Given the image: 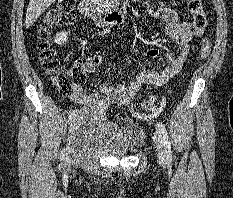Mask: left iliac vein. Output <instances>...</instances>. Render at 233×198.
I'll list each match as a JSON object with an SVG mask.
<instances>
[{"label":"left iliac vein","mask_w":233,"mask_h":198,"mask_svg":"<svg viewBox=\"0 0 233 198\" xmlns=\"http://www.w3.org/2000/svg\"><path fill=\"white\" fill-rule=\"evenodd\" d=\"M154 142L156 144L158 160L161 161V162L165 161L166 154H165L163 138H162V135H161L160 131H157L155 133Z\"/></svg>","instance_id":"4c4485c4"}]
</instances>
